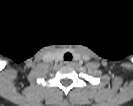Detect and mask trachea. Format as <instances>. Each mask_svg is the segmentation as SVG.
<instances>
[{
  "label": "trachea",
  "mask_w": 133,
  "mask_h": 106,
  "mask_svg": "<svg viewBox=\"0 0 133 106\" xmlns=\"http://www.w3.org/2000/svg\"><path fill=\"white\" fill-rule=\"evenodd\" d=\"M64 60L66 61H71L72 60V54L71 53H66L64 55Z\"/></svg>",
  "instance_id": "3493384b"
}]
</instances>
